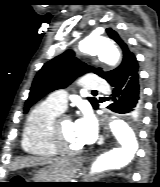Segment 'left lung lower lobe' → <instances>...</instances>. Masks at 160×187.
Returning <instances> with one entry per match:
<instances>
[{
    "mask_svg": "<svg viewBox=\"0 0 160 187\" xmlns=\"http://www.w3.org/2000/svg\"><path fill=\"white\" fill-rule=\"evenodd\" d=\"M138 68L136 57L133 55L128 59L123 70L108 81L112 87L109 100L113 101L108 108L124 114L134 124L138 123L143 109Z\"/></svg>",
    "mask_w": 160,
    "mask_h": 187,
    "instance_id": "obj_1",
    "label": "left lung lower lobe"
}]
</instances>
